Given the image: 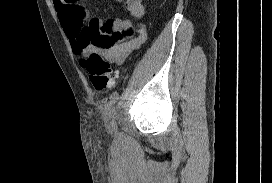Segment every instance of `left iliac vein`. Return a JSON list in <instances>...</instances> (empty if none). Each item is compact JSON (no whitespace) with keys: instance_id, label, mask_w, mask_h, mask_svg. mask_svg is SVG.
I'll list each match as a JSON object with an SVG mask.
<instances>
[{"instance_id":"1","label":"left iliac vein","mask_w":272,"mask_h":183,"mask_svg":"<svg viewBox=\"0 0 272 183\" xmlns=\"http://www.w3.org/2000/svg\"><path fill=\"white\" fill-rule=\"evenodd\" d=\"M115 114H116L115 108H114L113 104H111L109 102L105 108L104 120L106 122L107 128L110 131H115L117 128Z\"/></svg>"}]
</instances>
